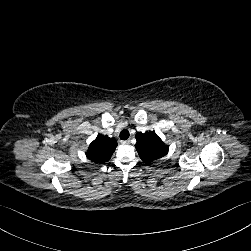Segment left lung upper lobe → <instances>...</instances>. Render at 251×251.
<instances>
[{"label":"left lung upper lobe","mask_w":251,"mask_h":251,"mask_svg":"<svg viewBox=\"0 0 251 251\" xmlns=\"http://www.w3.org/2000/svg\"><path fill=\"white\" fill-rule=\"evenodd\" d=\"M135 147L142 161L146 164L154 163L168 153V146L154 131L136 134Z\"/></svg>","instance_id":"1"}]
</instances>
